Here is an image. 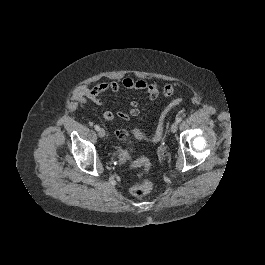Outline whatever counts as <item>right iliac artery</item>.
Instances as JSON below:
<instances>
[{
	"label": "right iliac artery",
	"mask_w": 265,
	"mask_h": 265,
	"mask_svg": "<svg viewBox=\"0 0 265 265\" xmlns=\"http://www.w3.org/2000/svg\"><path fill=\"white\" fill-rule=\"evenodd\" d=\"M94 128H95V130H97V131L100 129L99 125H97V124L94 125Z\"/></svg>",
	"instance_id": "1"
}]
</instances>
